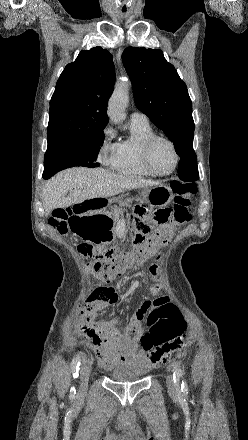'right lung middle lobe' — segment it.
Segmentation results:
<instances>
[{"label": "right lung middle lobe", "mask_w": 248, "mask_h": 440, "mask_svg": "<svg viewBox=\"0 0 248 440\" xmlns=\"http://www.w3.org/2000/svg\"><path fill=\"white\" fill-rule=\"evenodd\" d=\"M103 129L82 137L70 138L49 144L44 158L43 178L74 166L98 167L97 155L103 144Z\"/></svg>", "instance_id": "right-lung-middle-lobe-1"}]
</instances>
